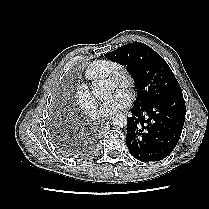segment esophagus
Here are the masks:
<instances>
[{
  "label": "esophagus",
  "mask_w": 209,
  "mask_h": 209,
  "mask_svg": "<svg viewBox=\"0 0 209 209\" xmlns=\"http://www.w3.org/2000/svg\"><path fill=\"white\" fill-rule=\"evenodd\" d=\"M108 120H109V119H103V120H101V121H100L101 126L106 125V124L108 123Z\"/></svg>",
  "instance_id": "esophagus-1"
}]
</instances>
